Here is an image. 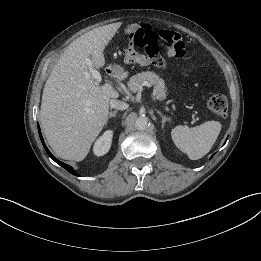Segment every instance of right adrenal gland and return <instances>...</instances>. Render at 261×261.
Returning <instances> with one entry per match:
<instances>
[{"instance_id":"1","label":"right adrenal gland","mask_w":261,"mask_h":261,"mask_svg":"<svg viewBox=\"0 0 261 261\" xmlns=\"http://www.w3.org/2000/svg\"><path fill=\"white\" fill-rule=\"evenodd\" d=\"M116 114H117V110L110 112L107 120H109L110 118H115Z\"/></svg>"}]
</instances>
